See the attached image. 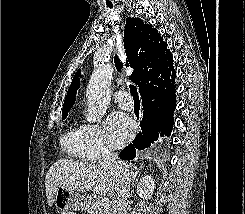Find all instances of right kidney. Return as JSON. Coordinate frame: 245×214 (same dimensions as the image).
<instances>
[{
	"label": "right kidney",
	"instance_id": "1",
	"mask_svg": "<svg viewBox=\"0 0 245 214\" xmlns=\"http://www.w3.org/2000/svg\"><path fill=\"white\" fill-rule=\"evenodd\" d=\"M155 189V181L151 176H144L140 179L137 186V194L143 200H148L151 198L153 191Z\"/></svg>",
	"mask_w": 245,
	"mask_h": 214
}]
</instances>
